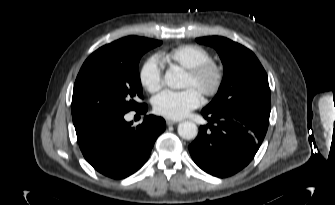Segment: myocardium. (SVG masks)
I'll return each instance as SVG.
<instances>
[{"instance_id": "myocardium-1", "label": "myocardium", "mask_w": 335, "mask_h": 205, "mask_svg": "<svg viewBox=\"0 0 335 205\" xmlns=\"http://www.w3.org/2000/svg\"><path fill=\"white\" fill-rule=\"evenodd\" d=\"M187 75L191 77L204 96L212 97L221 89L225 72L221 64L210 59L188 69ZM207 79H210V81L206 82Z\"/></svg>"}]
</instances>
